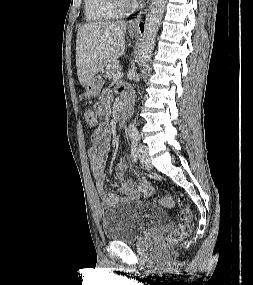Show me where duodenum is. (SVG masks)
Wrapping results in <instances>:
<instances>
[{
  "label": "duodenum",
  "instance_id": "410a0bca",
  "mask_svg": "<svg viewBox=\"0 0 253 285\" xmlns=\"http://www.w3.org/2000/svg\"><path fill=\"white\" fill-rule=\"evenodd\" d=\"M131 111V98L129 96H125L118 108V117H117V121H118V125L122 126L126 119L128 118L129 114Z\"/></svg>",
  "mask_w": 253,
  "mask_h": 285
}]
</instances>
